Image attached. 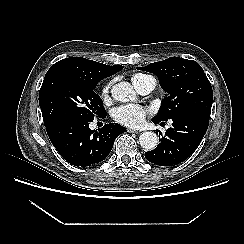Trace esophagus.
I'll return each mask as SVG.
<instances>
[{
    "label": "esophagus",
    "instance_id": "1",
    "mask_svg": "<svg viewBox=\"0 0 244 244\" xmlns=\"http://www.w3.org/2000/svg\"><path fill=\"white\" fill-rule=\"evenodd\" d=\"M127 131L129 132V133H139V131H137V130H134V129H127Z\"/></svg>",
    "mask_w": 244,
    "mask_h": 244
}]
</instances>
